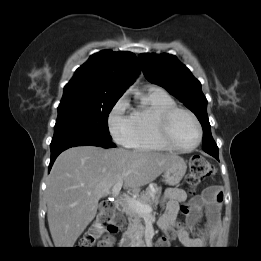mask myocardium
I'll list each match as a JSON object with an SVG mask.
<instances>
[{
    "mask_svg": "<svg viewBox=\"0 0 261 261\" xmlns=\"http://www.w3.org/2000/svg\"><path fill=\"white\" fill-rule=\"evenodd\" d=\"M178 113L187 114L188 116H190L192 118V120L194 121V123L196 125L198 137H197L196 142L192 146H189V147L179 146L178 144H176L174 142V140L171 136V130H170L171 122H172L174 116ZM157 130H158L160 139L168 148L175 150V151H180V152H190V151L195 150L200 145L202 138H203V129H202V126H201V123H200L198 117L191 110L184 108V107H180V106H173V107L165 110L158 116Z\"/></svg>",
    "mask_w": 261,
    "mask_h": 261,
    "instance_id": "obj_1",
    "label": "myocardium"
}]
</instances>
